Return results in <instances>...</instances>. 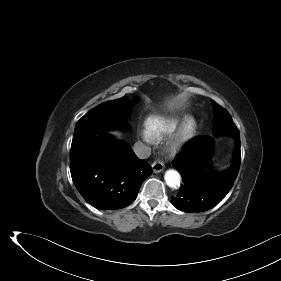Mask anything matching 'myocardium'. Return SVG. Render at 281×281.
<instances>
[{
    "label": "myocardium",
    "mask_w": 281,
    "mask_h": 281,
    "mask_svg": "<svg viewBox=\"0 0 281 281\" xmlns=\"http://www.w3.org/2000/svg\"><path fill=\"white\" fill-rule=\"evenodd\" d=\"M198 124L193 117L186 118L178 127L168 143V150L176 154L187 146L197 135Z\"/></svg>",
    "instance_id": "f54148a6"
}]
</instances>
